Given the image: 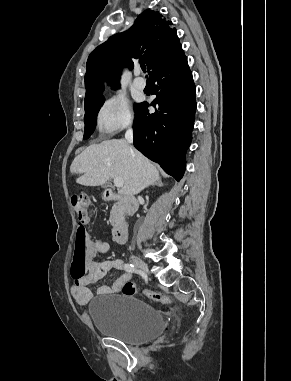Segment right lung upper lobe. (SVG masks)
I'll list each match as a JSON object with an SVG mask.
<instances>
[{
    "instance_id": "obj_1",
    "label": "right lung upper lobe",
    "mask_w": 291,
    "mask_h": 381,
    "mask_svg": "<svg viewBox=\"0 0 291 381\" xmlns=\"http://www.w3.org/2000/svg\"><path fill=\"white\" fill-rule=\"evenodd\" d=\"M159 12L145 10L126 32L110 37L88 57L84 105L102 96L104 82L116 88L123 66L143 60L149 74L182 50L176 29Z\"/></svg>"
}]
</instances>
